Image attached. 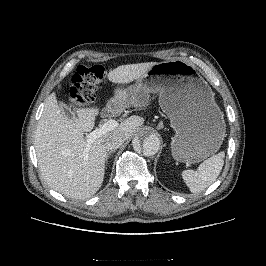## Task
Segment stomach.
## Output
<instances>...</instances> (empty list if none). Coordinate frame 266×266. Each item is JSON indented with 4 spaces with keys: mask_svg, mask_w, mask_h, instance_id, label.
Masks as SVG:
<instances>
[{
    "mask_svg": "<svg viewBox=\"0 0 266 266\" xmlns=\"http://www.w3.org/2000/svg\"><path fill=\"white\" fill-rule=\"evenodd\" d=\"M155 92L175 131L171 152L176 161L199 163L220 148L225 137L223 113L193 65L182 60L156 63L126 89L125 102L144 106ZM110 104L115 107V97Z\"/></svg>",
    "mask_w": 266,
    "mask_h": 266,
    "instance_id": "0dacf381",
    "label": "stomach"
}]
</instances>
